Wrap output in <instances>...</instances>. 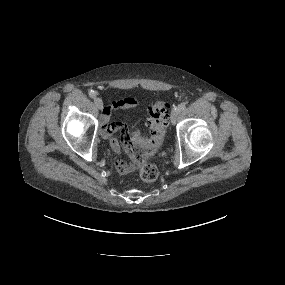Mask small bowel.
I'll return each mask as SVG.
<instances>
[{"label":"small bowel","instance_id":"small-bowel-1","mask_svg":"<svg viewBox=\"0 0 285 285\" xmlns=\"http://www.w3.org/2000/svg\"><path fill=\"white\" fill-rule=\"evenodd\" d=\"M137 105H138L137 100L132 98V97H125L122 99L115 100L103 109V112L101 115V120L104 124H106L108 122L110 114L113 110L134 108ZM112 124H116L121 130L125 131V127L123 124H121V123H112ZM112 124L105 125V127L103 128L102 135L104 137H107V136L114 133L112 128H111ZM122 142H123V138H122ZM111 145L115 151H119L120 145H119V142L117 140H115V139L112 140ZM115 166H116L117 171L120 174H127L130 171V169L132 168L130 165H128L126 162H124L122 160L116 161Z\"/></svg>","mask_w":285,"mask_h":285}]
</instances>
